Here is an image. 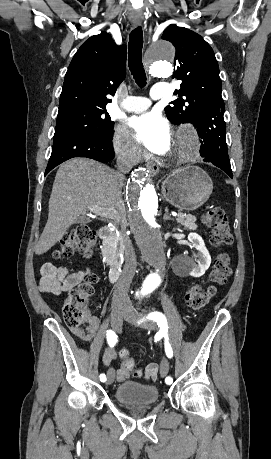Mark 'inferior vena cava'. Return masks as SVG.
I'll return each instance as SVG.
<instances>
[{"mask_svg": "<svg viewBox=\"0 0 271 459\" xmlns=\"http://www.w3.org/2000/svg\"><path fill=\"white\" fill-rule=\"evenodd\" d=\"M132 164L133 162H127V160H117L118 172L116 174V178L124 180V174H128L129 170L132 168ZM120 186H122V184H120ZM119 204V208L114 210V216L112 220H114V222H121V224H123L125 220V214L123 208H121V206H123L122 202H119ZM130 281L131 279H119V281H117L113 291V303L114 301H117V299H125V297H127Z\"/></svg>", "mask_w": 271, "mask_h": 459, "instance_id": "602c4592", "label": "inferior vena cava"}]
</instances>
